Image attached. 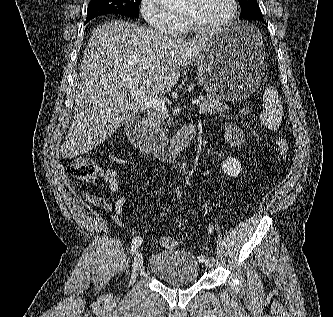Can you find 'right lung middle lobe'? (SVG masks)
I'll return each instance as SVG.
<instances>
[{
  "label": "right lung middle lobe",
  "mask_w": 333,
  "mask_h": 317,
  "mask_svg": "<svg viewBox=\"0 0 333 317\" xmlns=\"http://www.w3.org/2000/svg\"><path fill=\"white\" fill-rule=\"evenodd\" d=\"M140 1L141 0H91L88 5L86 21L107 13L123 14L138 18Z\"/></svg>",
  "instance_id": "obj_1"
}]
</instances>
